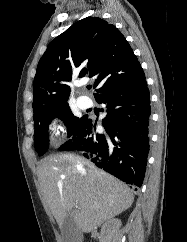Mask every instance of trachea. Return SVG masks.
<instances>
[{
  "instance_id": "trachea-1",
  "label": "trachea",
  "mask_w": 187,
  "mask_h": 242,
  "mask_svg": "<svg viewBox=\"0 0 187 242\" xmlns=\"http://www.w3.org/2000/svg\"><path fill=\"white\" fill-rule=\"evenodd\" d=\"M88 89H91V86H87Z\"/></svg>"
}]
</instances>
